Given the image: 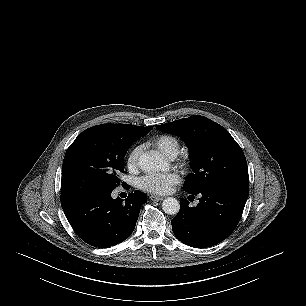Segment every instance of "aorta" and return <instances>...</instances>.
<instances>
[{
  "instance_id": "obj_1",
  "label": "aorta",
  "mask_w": 306,
  "mask_h": 306,
  "mask_svg": "<svg viewBox=\"0 0 306 306\" xmlns=\"http://www.w3.org/2000/svg\"><path fill=\"white\" fill-rule=\"evenodd\" d=\"M140 168L148 173H155L165 166L164 159L155 154H144L139 158ZM162 209L166 214L175 215L179 212L180 203L173 197H168L162 202Z\"/></svg>"
}]
</instances>
